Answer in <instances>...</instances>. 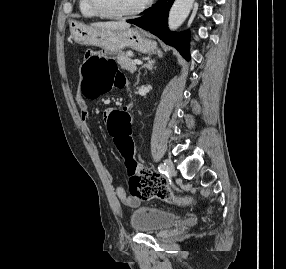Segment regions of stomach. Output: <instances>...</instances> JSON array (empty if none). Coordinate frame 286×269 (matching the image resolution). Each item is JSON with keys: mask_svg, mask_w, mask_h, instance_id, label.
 <instances>
[{"mask_svg": "<svg viewBox=\"0 0 286 269\" xmlns=\"http://www.w3.org/2000/svg\"><path fill=\"white\" fill-rule=\"evenodd\" d=\"M70 33L72 39L81 45L97 46L102 49H124L129 47L141 53H152L156 50V43L148 39L137 28L112 31L72 21L70 23Z\"/></svg>", "mask_w": 286, "mask_h": 269, "instance_id": "0dacf381", "label": "stomach"}]
</instances>
